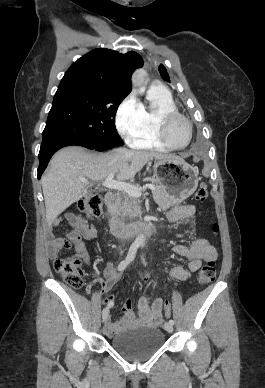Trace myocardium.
I'll list each match as a JSON object with an SVG mask.
<instances>
[{"mask_svg":"<svg viewBox=\"0 0 265 388\" xmlns=\"http://www.w3.org/2000/svg\"><path fill=\"white\" fill-rule=\"evenodd\" d=\"M158 90H159V88H151L149 91H158ZM174 117L180 118L184 122V124H185V126L187 128V131H188V139H187L186 143L181 145V146L173 145L169 141V139H168V137L166 135L167 124H168L169 120L174 118ZM157 134H158V137L160 138V140L166 146H168L170 148H173V149H182V148H185L189 144V142L191 140V137H192V126H191L190 121L183 114H181L177 110L168 109V110L162 111L159 114V116H158V119H157Z\"/></svg>","mask_w":265,"mask_h":388,"instance_id":"1","label":"myocardium"}]
</instances>
